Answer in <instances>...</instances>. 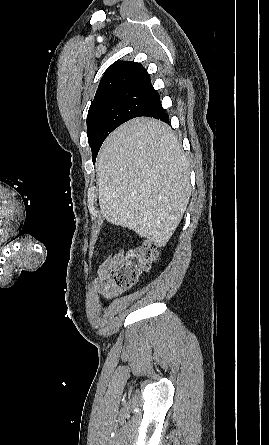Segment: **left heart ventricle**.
<instances>
[{
    "mask_svg": "<svg viewBox=\"0 0 269 445\" xmlns=\"http://www.w3.org/2000/svg\"><path fill=\"white\" fill-rule=\"evenodd\" d=\"M0 235H2V232H1V230H0Z\"/></svg>",
    "mask_w": 269,
    "mask_h": 445,
    "instance_id": "1",
    "label": "left heart ventricle"
}]
</instances>
